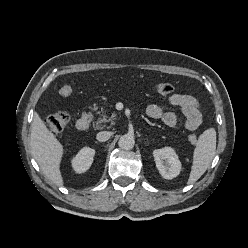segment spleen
I'll return each instance as SVG.
<instances>
[{"mask_svg":"<svg viewBox=\"0 0 248 248\" xmlns=\"http://www.w3.org/2000/svg\"><path fill=\"white\" fill-rule=\"evenodd\" d=\"M215 150L216 131L210 128L200 135L196 143L188 184H193L204 174L215 156Z\"/></svg>","mask_w":248,"mask_h":248,"instance_id":"3e777b00","label":"spleen"}]
</instances>
